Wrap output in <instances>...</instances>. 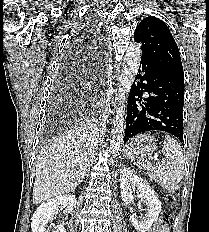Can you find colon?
<instances>
[{
    "label": "colon",
    "instance_id": "5ec220e1",
    "mask_svg": "<svg viewBox=\"0 0 209 232\" xmlns=\"http://www.w3.org/2000/svg\"><path fill=\"white\" fill-rule=\"evenodd\" d=\"M168 202L169 204H173L174 203V197L173 196H168ZM171 221V215L168 213L163 214L160 219H159V225L162 227H167V225L170 223Z\"/></svg>",
    "mask_w": 209,
    "mask_h": 232
}]
</instances>
